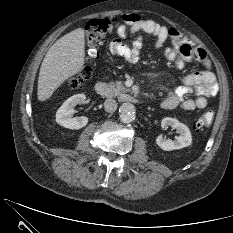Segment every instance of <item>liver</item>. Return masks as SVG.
<instances>
[{"mask_svg": "<svg viewBox=\"0 0 233 233\" xmlns=\"http://www.w3.org/2000/svg\"><path fill=\"white\" fill-rule=\"evenodd\" d=\"M85 63V32L78 28L57 40L46 53L41 64L37 96L49 99L69 77L80 72Z\"/></svg>", "mask_w": 233, "mask_h": 233, "instance_id": "liver-1", "label": "liver"}]
</instances>
